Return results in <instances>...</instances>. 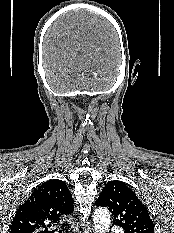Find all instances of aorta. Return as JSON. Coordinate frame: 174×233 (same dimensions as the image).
<instances>
[{
  "instance_id": "762f6f07",
  "label": "aorta",
  "mask_w": 174,
  "mask_h": 233,
  "mask_svg": "<svg viewBox=\"0 0 174 233\" xmlns=\"http://www.w3.org/2000/svg\"><path fill=\"white\" fill-rule=\"evenodd\" d=\"M93 222L95 233H107L110 228V213L105 208H98L94 211Z\"/></svg>"
}]
</instances>
